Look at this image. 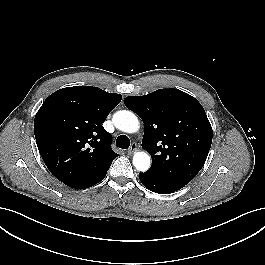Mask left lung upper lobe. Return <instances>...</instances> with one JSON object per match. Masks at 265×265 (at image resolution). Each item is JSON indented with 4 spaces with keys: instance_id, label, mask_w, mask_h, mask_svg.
Wrapping results in <instances>:
<instances>
[{
    "instance_id": "left-lung-upper-lobe-1",
    "label": "left lung upper lobe",
    "mask_w": 265,
    "mask_h": 265,
    "mask_svg": "<svg viewBox=\"0 0 265 265\" xmlns=\"http://www.w3.org/2000/svg\"><path fill=\"white\" fill-rule=\"evenodd\" d=\"M125 106L144 122L142 148L152 157L146 172L184 187L203 167L212 127L202 105L178 89L129 96Z\"/></svg>"
}]
</instances>
